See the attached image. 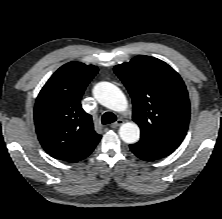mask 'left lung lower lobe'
<instances>
[{"label": "left lung lower lobe", "mask_w": 222, "mask_h": 219, "mask_svg": "<svg viewBox=\"0 0 222 219\" xmlns=\"http://www.w3.org/2000/svg\"><path fill=\"white\" fill-rule=\"evenodd\" d=\"M176 148L141 138L130 145V150L140 159L153 161L171 154Z\"/></svg>", "instance_id": "0a47b994"}]
</instances>
